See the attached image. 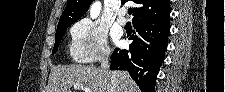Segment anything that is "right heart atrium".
<instances>
[{
	"mask_svg": "<svg viewBox=\"0 0 225 92\" xmlns=\"http://www.w3.org/2000/svg\"><path fill=\"white\" fill-rule=\"evenodd\" d=\"M71 54L81 64L96 62L109 54L107 31L98 22L81 19L72 25Z\"/></svg>",
	"mask_w": 225,
	"mask_h": 92,
	"instance_id": "d8ad5b80",
	"label": "right heart atrium"
}]
</instances>
